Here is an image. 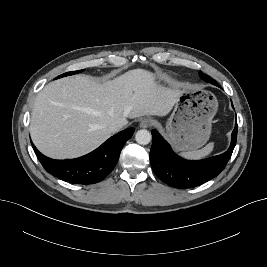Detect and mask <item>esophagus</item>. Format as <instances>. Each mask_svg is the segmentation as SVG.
<instances>
[{
    "label": "esophagus",
    "mask_w": 267,
    "mask_h": 267,
    "mask_svg": "<svg viewBox=\"0 0 267 267\" xmlns=\"http://www.w3.org/2000/svg\"><path fill=\"white\" fill-rule=\"evenodd\" d=\"M153 124V120L151 118H144L141 120L139 126L140 128H148Z\"/></svg>",
    "instance_id": "34e87169"
}]
</instances>
